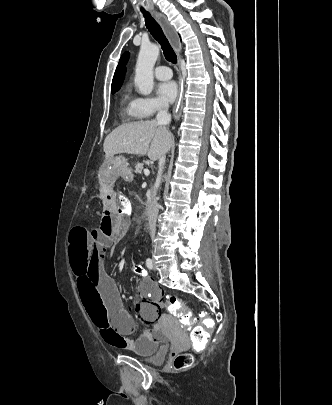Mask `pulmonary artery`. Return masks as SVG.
<instances>
[{"instance_id":"1","label":"pulmonary artery","mask_w":332,"mask_h":405,"mask_svg":"<svg viewBox=\"0 0 332 405\" xmlns=\"http://www.w3.org/2000/svg\"><path fill=\"white\" fill-rule=\"evenodd\" d=\"M154 74L159 80H168L172 77V71L167 66H157L154 70Z\"/></svg>"}]
</instances>
